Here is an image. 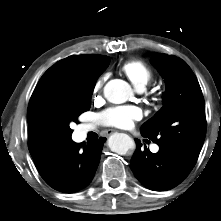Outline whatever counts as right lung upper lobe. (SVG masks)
<instances>
[{"instance_id":"1","label":"right lung upper lobe","mask_w":221,"mask_h":221,"mask_svg":"<svg viewBox=\"0 0 221 221\" xmlns=\"http://www.w3.org/2000/svg\"><path fill=\"white\" fill-rule=\"evenodd\" d=\"M109 63L110 58L104 55L70 56L57 62L44 73L33 91L27 111L28 148L33 159L50 151L39 147L33 136V128L40 113L46 107L61 105L81 74L97 70Z\"/></svg>"}]
</instances>
